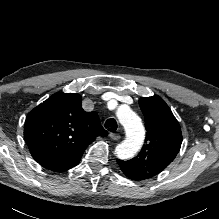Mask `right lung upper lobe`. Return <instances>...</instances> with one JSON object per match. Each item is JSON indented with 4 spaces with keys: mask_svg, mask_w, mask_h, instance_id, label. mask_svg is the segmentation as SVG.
Segmentation results:
<instances>
[{
    "mask_svg": "<svg viewBox=\"0 0 219 219\" xmlns=\"http://www.w3.org/2000/svg\"><path fill=\"white\" fill-rule=\"evenodd\" d=\"M79 94L58 92L29 112L24 137L42 167L63 172L75 167L86 147L107 131L98 114L82 109Z\"/></svg>",
    "mask_w": 219,
    "mask_h": 219,
    "instance_id": "1",
    "label": "right lung upper lobe"
}]
</instances>
